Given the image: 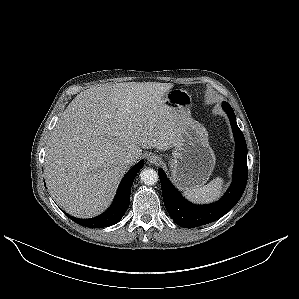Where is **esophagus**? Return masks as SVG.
<instances>
[{"instance_id":"esophagus-1","label":"esophagus","mask_w":299,"mask_h":299,"mask_svg":"<svg viewBox=\"0 0 299 299\" xmlns=\"http://www.w3.org/2000/svg\"><path fill=\"white\" fill-rule=\"evenodd\" d=\"M148 161L152 164H159L161 162V158L158 155L152 154L148 157Z\"/></svg>"}]
</instances>
